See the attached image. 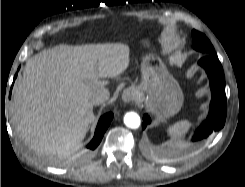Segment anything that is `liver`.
I'll return each instance as SVG.
<instances>
[{
    "label": "liver",
    "mask_w": 245,
    "mask_h": 187,
    "mask_svg": "<svg viewBox=\"0 0 245 187\" xmlns=\"http://www.w3.org/2000/svg\"><path fill=\"white\" fill-rule=\"evenodd\" d=\"M129 53L123 43L60 44L28 59L11 104L17 133L39 153L79 147L94 117L89 94L127 69Z\"/></svg>",
    "instance_id": "obj_1"
}]
</instances>
